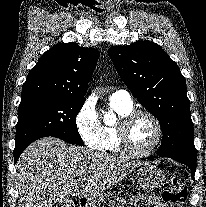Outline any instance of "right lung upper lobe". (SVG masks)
Listing matches in <instances>:
<instances>
[{"instance_id": "cb5924a9", "label": "right lung upper lobe", "mask_w": 206, "mask_h": 207, "mask_svg": "<svg viewBox=\"0 0 206 207\" xmlns=\"http://www.w3.org/2000/svg\"><path fill=\"white\" fill-rule=\"evenodd\" d=\"M98 58L96 49L76 43L53 46L29 72L22 87L21 101L38 96L85 101Z\"/></svg>"}]
</instances>
